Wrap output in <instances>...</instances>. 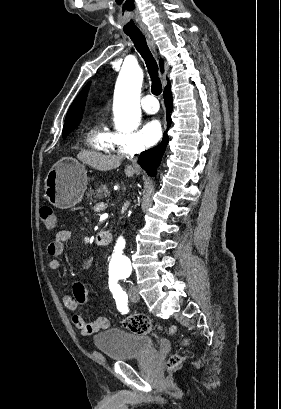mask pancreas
I'll return each mask as SVG.
<instances>
[{"label":"pancreas","instance_id":"1","mask_svg":"<svg viewBox=\"0 0 281 409\" xmlns=\"http://www.w3.org/2000/svg\"><path fill=\"white\" fill-rule=\"evenodd\" d=\"M110 192L106 186V184H97L95 186V190H89V192H86L87 198H90V200H93V198H103V196H109Z\"/></svg>","mask_w":281,"mask_h":409}]
</instances>
